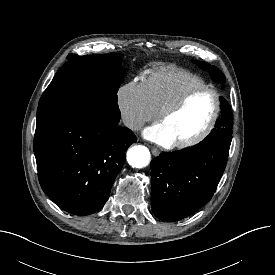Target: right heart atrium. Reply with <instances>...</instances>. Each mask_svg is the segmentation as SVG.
Returning a JSON list of instances; mask_svg holds the SVG:
<instances>
[{"instance_id":"right-heart-atrium-1","label":"right heart atrium","mask_w":275,"mask_h":275,"mask_svg":"<svg viewBox=\"0 0 275 275\" xmlns=\"http://www.w3.org/2000/svg\"><path fill=\"white\" fill-rule=\"evenodd\" d=\"M117 102L122 120L129 129H138L156 117L143 83L131 81L123 85L118 91Z\"/></svg>"}]
</instances>
